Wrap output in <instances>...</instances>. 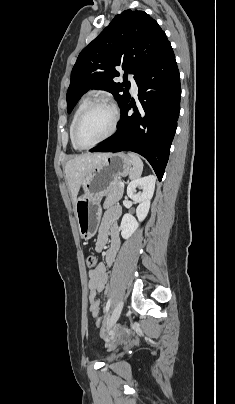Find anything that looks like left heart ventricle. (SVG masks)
Here are the masks:
<instances>
[{
	"label": "left heart ventricle",
	"mask_w": 235,
	"mask_h": 404,
	"mask_svg": "<svg viewBox=\"0 0 235 404\" xmlns=\"http://www.w3.org/2000/svg\"><path fill=\"white\" fill-rule=\"evenodd\" d=\"M112 119L113 113L107 107L99 106L91 109L79 126V141L83 145L95 143L108 133L112 125Z\"/></svg>",
	"instance_id": "obj_1"
}]
</instances>
